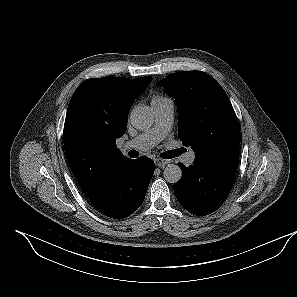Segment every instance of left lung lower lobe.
Instances as JSON below:
<instances>
[{"label":"left lung lower lobe","instance_id":"0a47b994","mask_svg":"<svg viewBox=\"0 0 297 297\" xmlns=\"http://www.w3.org/2000/svg\"><path fill=\"white\" fill-rule=\"evenodd\" d=\"M239 160V147L227 150L206 161H195L186 167L183 176L174 186L179 203L197 216L217 210L232 189Z\"/></svg>","mask_w":297,"mask_h":297}]
</instances>
